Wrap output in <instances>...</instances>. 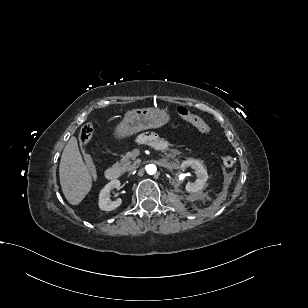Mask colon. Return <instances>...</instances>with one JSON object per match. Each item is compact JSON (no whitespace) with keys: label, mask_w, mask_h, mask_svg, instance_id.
<instances>
[{"label":"colon","mask_w":308,"mask_h":308,"mask_svg":"<svg viewBox=\"0 0 308 308\" xmlns=\"http://www.w3.org/2000/svg\"><path fill=\"white\" fill-rule=\"evenodd\" d=\"M178 115L188 123L192 124L202 133H209L211 131L210 126L198 115L190 112L186 107L179 106L177 108ZM94 132V126L92 123L84 124L79 131V142L83 148V159L90 175L96 178V169L91 155L87 152L86 147L88 146ZM222 163L225 167L230 168L234 165L235 159L232 156H224Z\"/></svg>","instance_id":"obj_1"}]
</instances>
